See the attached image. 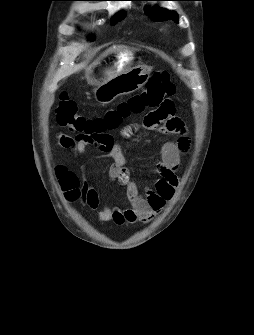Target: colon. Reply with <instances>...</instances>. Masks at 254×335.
Segmentation results:
<instances>
[{"mask_svg":"<svg viewBox=\"0 0 254 335\" xmlns=\"http://www.w3.org/2000/svg\"><path fill=\"white\" fill-rule=\"evenodd\" d=\"M175 86L166 71L153 73L146 87L130 99L119 103L117 108L110 109L104 116L87 117L78 111L75 101L65 93L61 95L56 108L58 124L77 134L76 137L89 144H96L103 150L110 148L112 138L109 131L116 129L122 120L132 113H140L145 109L156 108L162 104V98H171ZM79 193L77 192V196Z\"/></svg>","mask_w":254,"mask_h":335,"instance_id":"obj_1","label":"colon"}]
</instances>
